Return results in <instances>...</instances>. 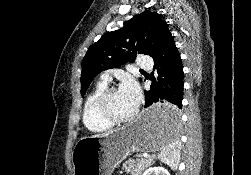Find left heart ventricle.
<instances>
[{
    "label": "left heart ventricle",
    "mask_w": 251,
    "mask_h": 175,
    "mask_svg": "<svg viewBox=\"0 0 251 175\" xmlns=\"http://www.w3.org/2000/svg\"><path fill=\"white\" fill-rule=\"evenodd\" d=\"M109 109L116 116H128L133 111L123 102L119 90L114 91L109 98Z\"/></svg>",
    "instance_id": "left-heart-ventricle-1"
}]
</instances>
